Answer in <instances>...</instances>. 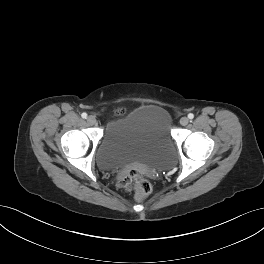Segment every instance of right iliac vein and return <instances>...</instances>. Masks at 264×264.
<instances>
[{"label": "right iliac vein", "mask_w": 264, "mask_h": 264, "mask_svg": "<svg viewBox=\"0 0 264 264\" xmlns=\"http://www.w3.org/2000/svg\"><path fill=\"white\" fill-rule=\"evenodd\" d=\"M87 122L90 125H95L97 123V119L94 116L91 115V116L87 117Z\"/></svg>", "instance_id": "right-iliac-vein-1"}]
</instances>
